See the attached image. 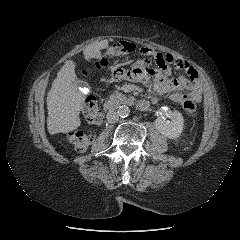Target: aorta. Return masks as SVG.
<instances>
[{"instance_id":"1","label":"aorta","mask_w":240,"mask_h":240,"mask_svg":"<svg viewBox=\"0 0 240 240\" xmlns=\"http://www.w3.org/2000/svg\"><path fill=\"white\" fill-rule=\"evenodd\" d=\"M117 113L120 117L125 118V117L129 116L130 108L126 105H122L118 108Z\"/></svg>"}]
</instances>
